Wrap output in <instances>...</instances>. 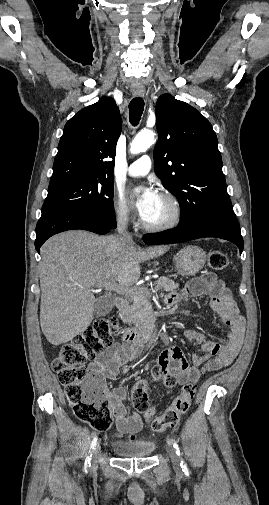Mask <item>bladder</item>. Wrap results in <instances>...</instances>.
<instances>
[{
  "instance_id": "31cf9c89",
  "label": "bladder",
  "mask_w": 269,
  "mask_h": 505,
  "mask_svg": "<svg viewBox=\"0 0 269 505\" xmlns=\"http://www.w3.org/2000/svg\"><path fill=\"white\" fill-rule=\"evenodd\" d=\"M112 450L124 458H145L154 452L155 443L153 441H114Z\"/></svg>"
}]
</instances>
